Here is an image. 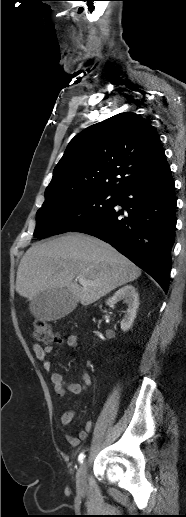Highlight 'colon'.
Masks as SVG:
<instances>
[{
	"label": "colon",
	"mask_w": 186,
	"mask_h": 517,
	"mask_svg": "<svg viewBox=\"0 0 186 517\" xmlns=\"http://www.w3.org/2000/svg\"><path fill=\"white\" fill-rule=\"evenodd\" d=\"M33 336L36 341L43 344H50L56 342L58 339L57 333L49 324L42 320L35 322Z\"/></svg>",
	"instance_id": "obj_1"
}]
</instances>
